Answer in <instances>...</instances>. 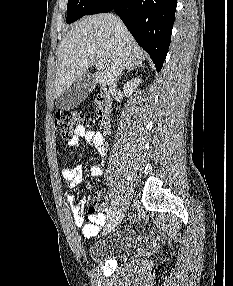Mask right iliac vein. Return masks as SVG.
I'll return each mask as SVG.
<instances>
[{
  "label": "right iliac vein",
  "mask_w": 233,
  "mask_h": 286,
  "mask_svg": "<svg viewBox=\"0 0 233 286\" xmlns=\"http://www.w3.org/2000/svg\"><path fill=\"white\" fill-rule=\"evenodd\" d=\"M123 216L124 214L122 210H118L116 212L115 216L112 219H110L109 222L107 223L106 230L108 233L113 231L116 228V226L120 224L121 220L123 219Z\"/></svg>",
  "instance_id": "1"
}]
</instances>
